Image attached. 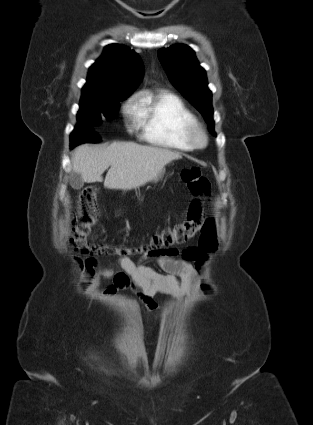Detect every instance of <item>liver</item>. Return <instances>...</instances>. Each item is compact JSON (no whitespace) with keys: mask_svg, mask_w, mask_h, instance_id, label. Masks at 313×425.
Returning <instances> with one entry per match:
<instances>
[{"mask_svg":"<svg viewBox=\"0 0 313 425\" xmlns=\"http://www.w3.org/2000/svg\"><path fill=\"white\" fill-rule=\"evenodd\" d=\"M179 153L168 149L132 142H114L109 146H79L72 158L73 171L84 182H102L104 187L130 190L152 180L169 162L181 159Z\"/></svg>","mask_w":313,"mask_h":425,"instance_id":"obj_1","label":"liver"}]
</instances>
